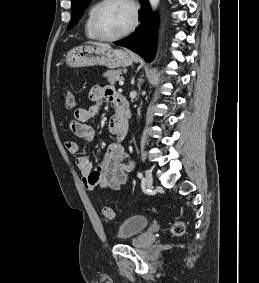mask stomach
Returning <instances> with one entry per match:
<instances>
[{
    "label": "stomach",
    "instance_id": "obj_1",
    "mask_svg": "<svg viewBox=\"0 0 259 283\" xmlns=\"http://www.w3.org/2000/svg\"><path fill=\"white\" fill-rule=\"evenodd\" d=\"M133 59L132 53L127 50L85 45L72 49L66 57V63L70 67L102 65L117 68L131 65Z\"/></svg>",
    "mask_w": 259,
    "mask_h": 283
}]
</instances>
